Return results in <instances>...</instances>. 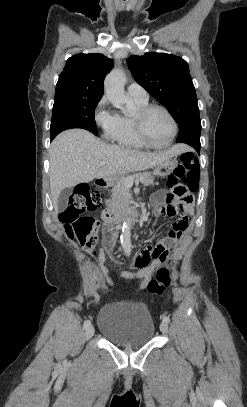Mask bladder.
Segmentation results:
<instances>
[{
  "instance_id": "obj_1",
  "label": "bladder",
  "mask_w": 247,
  "mask_h": 407,
  "mask_svg": "<svg viewBox=\"0 0 247 407\" xmlns=\"http://www.w3.org/2000/svg\"><path fill=\"white\" fill-rule=\"evenodd\" d=\"M99 331L120 347L139 348L153 339L154 323L147 305L137 297L130 301L112 300L98 312Z\"/></svg>"
}]
</instances>
